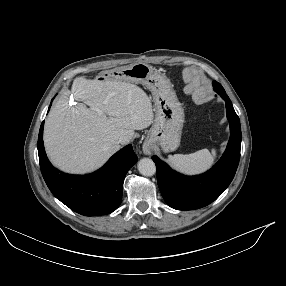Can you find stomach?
Listing matches in <instances>:
<instances>
[{
    "mask_svg": "<svg viewBox=\"0 0 286 286\" xmlns=\"http://www.w3.org/2000/svg\"><path fill=\"white\" fill-rule=\"evenodd\" d=\"M109 78L142 84L153 95L155 118L145 146H159L172 152L180 145L184 111L170 80L152 66L138 62L108 72Z\"/></svg>",
    "mask_w": 286,
    "mask_h": 286,
    "instance_id": "stomach-1",
    "label": "stomach"
}]
</instances>
